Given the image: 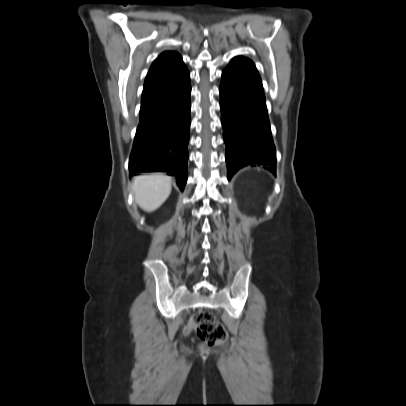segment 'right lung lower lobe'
<instances>
[{"label":"right lung lower lobe","instance_id":"right-lung-lower-lobe-1","mask_svg":"<svg viewBox=\"0 0 406 406\" xmlns=\"http://www.w3.org/2000/svg\"><path fill=\"white\" fill-rule=\"evenodd\" d=\"M190 77L185 65L168 79L143 89L140 122L129 159L130 175L166 170L180 190L187 181Z\"/></svg>","mask_w":406,"mask_h":406}]
</instances>
